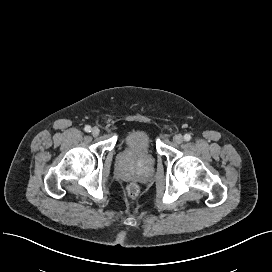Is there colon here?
Listing matches in <instances>:
<instances>
[{
    "mask_svg": "<svg viewBox=\"0 0 272 272\" xmlns=\"http://www.w3.org/2000/svg\"><path fill=\"white\" fill-rule=\"evenodd\" d=\"M140 188L136 183H131L127 186V193L131 197H135L139 194Z\"/></svg>",
    "mask_w": 272,
    "mask_h": 272,
    "instance_id": "5ec220e1",
    "label": "colon"
}]
</instances>
